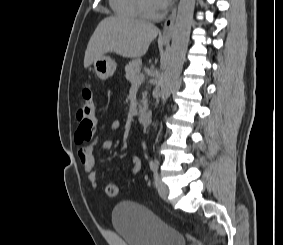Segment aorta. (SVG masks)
Here are the masks:
<instances>
[{"instance_id":"aorta-1","label":"aorta","mask_w":283,"mask_h":245,"mask_svg":"<svg viewBox=\"0 0 283 245\" xmlns=\"http://www.w3.org/2000/svg\"><path fill=\"white\" fill-rule=\"evenodd\" d=\"M195 8V0H180L175 20L172 44L167 67L161 81V100L166 102L173 84L179 77L188 47L191 25Z\"/></svg>"}]
</instances>
